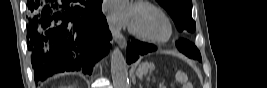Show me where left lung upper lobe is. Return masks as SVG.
<instances>
[{
	"mask_svg": "<svg viewBox=\"0 0 267 88\" xmlns=\"http://www.w3.org/2000/svg\"><path fill=\"white\" fill-rule=\"evenodd\" d=\"M157 2L167 10L179 31L193 32L195 30L191 0H157Z\"/></svg>",
	"mask_w": 267,
	"mask_h": 88,
	"instance_id": "left-lung-upper-lobe-1",
	"label": "left lung upper lobe"
}]
</instances>
